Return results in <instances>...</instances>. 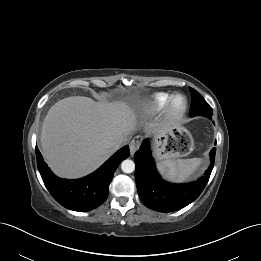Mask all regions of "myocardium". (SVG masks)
I'll list each match as a JSON object with an SVG mask.
<instances>
[{
    "instance_id": "1",
    "label": "myocardium",
    "mask_w": 261,
    "mask_h": 261,
    "mask_svg": "<svg viewBox=\"0 0 261 261\" xmlns=\"http://www.w3.org/2000/svg\"><path fill=\"white\" fill-rule=\"evenodd\" d=\"M181 100V104L177 105V101ZM187 99L182 94H175L171 96L167 108H166V118L169 122H177L182 119L187 111Z\"/></svg>"
}]
</instances>
